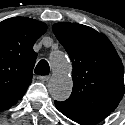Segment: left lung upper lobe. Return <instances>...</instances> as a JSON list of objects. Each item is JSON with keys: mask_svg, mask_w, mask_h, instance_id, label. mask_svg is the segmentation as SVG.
Listing matches in <instances>:
<instances>
[{"mask_svg": "<svg viewBox=\"0 0 125 125\" xmlns=\"http://www.w3.org/2000/svg\"><path fill=\"white\" fill-rule=\"evenodd\" d=\"M53 32L73 65L71 96L55 101L60 111L81 115L114 111L124 95V70L109 39L78 23H56Z\"/></svg>", "mask_w": 125, "mask_h": 125, "instance_id": "obj_1", "label": "left lung upper lobe"}]
</instances>
